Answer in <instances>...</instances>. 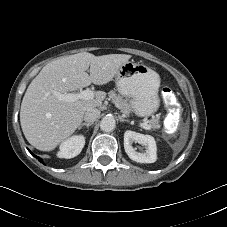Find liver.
Wrapping results in <instances>:
<instances>
[{"label":"liver","mask_w":227,"mask_h":227,"mask_svg":"<svg viewBox=\"0 0 227 227\" xmlns=\"http://www.w3.org/2000/svg\"><path fill=\"white\" fill-rule=\"evenodd\" d=\"M130 58L126 54L95 56L81 52L44 66L28 86L21 103L20 123L27 141L41 151L55 149L75 132L87 109L101 106L106 97L105 92L97 91L91 100L65 102L55 93L67 94L91 83L107 84Z\"/></svg>","instance_id":"6515ba94"}]
</instances>
